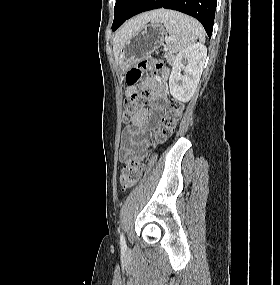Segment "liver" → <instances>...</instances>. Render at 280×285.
Wrapping results in <instances>:
<instances>
[{
	"mask_svg": "<svg viewBox=\"0 0 280 285\" xmlns=\"http://www.w3.org/2000/svg\"><path fill=\"white\" fill-rule=\"evenodd\" d=\"M157 15L156 11L144 13L132 18L127 23H125L115 34L113 39V51L115 59L118 60L120 49L123 42L128 39L134 32L139 30L150 20L152 21Z\"/></svg>",
	"mask_w": 280,
	"mask_h": 285,
	"instance_id": "6515ba94",
	"label": "liver"
}]
</instances>
